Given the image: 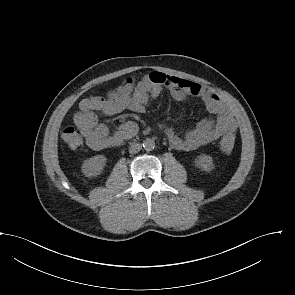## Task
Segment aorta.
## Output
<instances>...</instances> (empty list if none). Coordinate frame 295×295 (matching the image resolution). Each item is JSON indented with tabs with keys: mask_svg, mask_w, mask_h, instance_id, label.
<instances>
[{
	"mask_svg": "<svg viewBox=\"0 0 295 295\" xmlns=\"http://www.w3.org/2000/svg\"><path fill=\"white\" fill-rule=\"evenodd\" d=\"M143 148L146 151H151L155 148V142L152 139H146L143 141Z\"/></svg>",
	"mask_w": 295,
	"mask_h": 295,
	"instance_id": "obj_1",
	"label": "aorta"
}]
</instances>
